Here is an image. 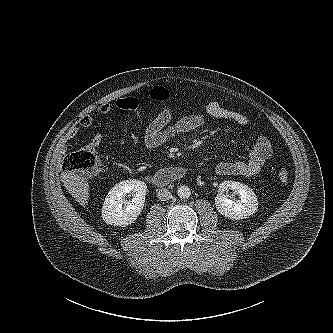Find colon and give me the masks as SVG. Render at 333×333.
<instances>
[{
    "label": "colon",
    "mask_w": 333,
    "mask_h": 333,
    "mask_svg": "<svg viewBox=\"0 0 333 333\" xmlns=\"http://www.w3.org/2000/svg\"><path fill=\"white\" fill-rule=\"evenodd\" d=\"M149 97L158 102H166L170 99L169 92L160 86H156L149 91ZM67 171L80 172L87 175H96L104 169L102 160L97 149L93 145H87L79 150L68 154L63 163ZM278 180L282 184L289 181V173L282 168L278 172Z\"/></svg>",
    "instance_id": "1"
}]
</instances>
